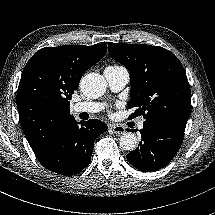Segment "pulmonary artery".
I'll list each match as a JSON object with an SVG mask.
<instances>
[{"instance_id":"pulmonary-artery-1","label":"pulmonary artery","mask_w":215,"mask_h":215,"mask_svg":"<svg viewBox=\"0 0 215 215\" xmlns=\"http://www.w3.org/2000/svg\"><path fill=\"white\" fill-rule=\"evenodd\" d=\"M104 76L112 91H119L129 81V72L125 67H107L104 70ZM103 108V105L96 102H79L71 106V113L76 115L80 113H96ZM145 120L141 118L135 123L137 130L144 128Z\"/></svg>"}]
</instances>
